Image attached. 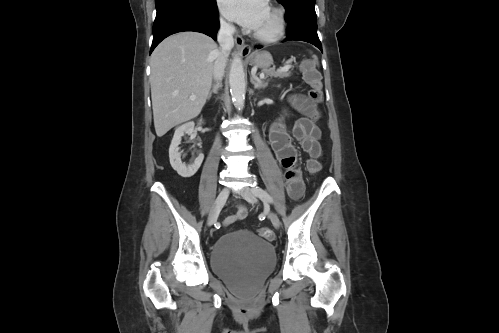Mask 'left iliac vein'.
I'll use <instances>...</instances> for the list:
<instances>
[{
	"mask_svg": "<svg viewBox=\"0 0 499 333\" xmlns=\"http://www.w3.org/2000/svg\"><path fill=\"white\" fill-rule=\"evenodd\" d=\"M240 194L249 203H251V204H256L257 203V197H256V195L254 194V192H253V190L251 188H248V187L244 188L240 192ZM266 213H267L269 219L271 220L273 226L275 228H279L281 223H280V219L277 216V214L275 212L271 211L270 209H267Z\"/></svg>",
	"mask_w": 499,
	"mask_h": 333,
	"instance_id": "left-iliac-vein-1",
	"label": "left iliac vein"
}]
</instances>
